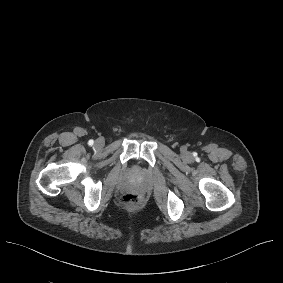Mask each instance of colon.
Here are the masks:
<instances>
[{
    "mask_svg": "<svg viewBox=\"0 0 283 283\" xmlns=\"http://www.w3.org/2000/svg\"><path fill=\"white\" fill-rule=\"evenodd\" d=\"M140 202L141 197L137 194H127L120 198V203L128 207H136Z\"/></svg>",
    "mask_w": 283,
    "mask_h": 283,
    "instance_id": "5ec220e1",
    "label": "colon"
}]
</instances>
